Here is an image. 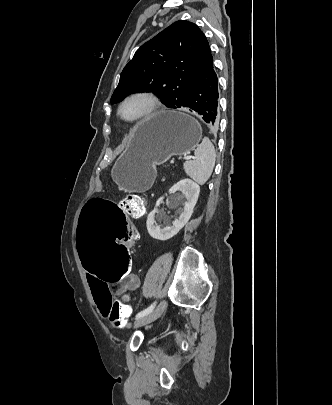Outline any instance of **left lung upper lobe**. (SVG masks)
<instances>
[{"instance_id": "left-lung-upper-lobe-1", "label": "left lung upper lobe", "mask_w": 332, "mask_h": 405, "mask_svg": "<svg viewBox=\"0 0 332 405\" xmlns=\"http://www.w3.org/2000/svg\"><path fill=\"white\" fill-rule=\"evenodd\" d=\"M211 56L194 23L180 20L143 44L123 69L111 103L134 92L151 91L170 108L185 105L194 78Z\"/></svg>"}]
</instances>
